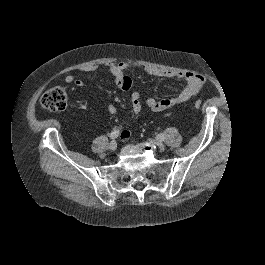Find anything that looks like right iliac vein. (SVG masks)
<instances>
[{
	"label": "right iliac vein",
	"mask_w": 265,
	"mask_h": 265,
	"mask_svg": "<svg viewBox=\"0 0 265 265\" xmlns=\"http://www.w3.org/2000/svg\"><path fill=\"white\" fill-rule=\"evenodd\" d=\"M109 149L114 152L116 151L117 149V143L115 141H112L110 144H109Z\"/></svg>",
	"instance_id": "obj_1"
}]
</instances>
